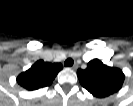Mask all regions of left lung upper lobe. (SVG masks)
I'll return each mask as SVG.
<instances>
[{"mask_svg": "<svg viewBox=\"0 0 133 106\" xmlns=\"http://www.w3.org/2000/svg\"><path fill=\"white\" fill-rule=\"evenodd\" d=\"M77 75L81 85L95 97H106L120 90L124 73L119 68L104 65L93 59L85 70L78 69Z\"/></svg>", "mask_w": 133, "mask_h": 106, "instance_id": "5c2ea615", "label": "left lung upper lobe"}]
</instances>
